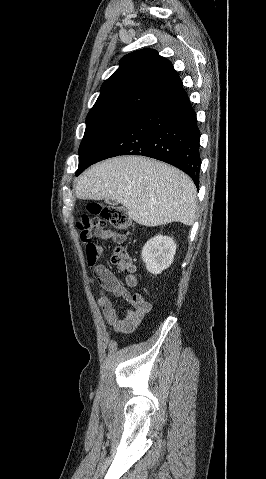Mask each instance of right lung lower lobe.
I'll return each mask as SVG.
<instances>
[{"mask_svg": "<svg viewBox=\"0 0 266 479\" xmlns=\"http://www.w3.org/2000/svg\"><path fill=\"white\" fill-rule=\"evenodd\" d=\"M199 141L196 113L181 85L140 110L93 164L118 155H143L181 169L198 188Z\"/></svg>", "mask_w": 266, "mask_h": 479, "instance_id": "98d812e1", "label": "right lung lower lobe"}]
</instances>
